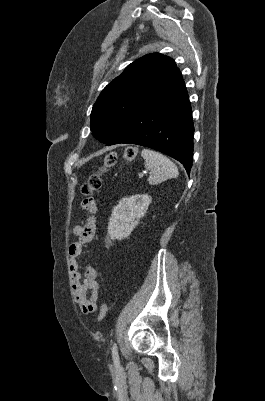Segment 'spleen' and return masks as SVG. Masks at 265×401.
Instances as JSON below:
<instances>
[{
	"instance_id": "3e777b00",
	"label": "spleen",
	"mask_w": 265,
	"mask_h": 401,
	"mask_svg": "<svg viewBox=\"0 0 265 401\" xmlns=\"http://www.w3.org/2000/svg\"><path fill=\"white\" fill-rule=\"evenodd\" d=\"M141 154L145 158V168L150 170L149 184H160L167 178H176L178 176L179 172L176 164L164 154H160L156 150H150V148H143Z\"/></svg>"
}]
</instances>
